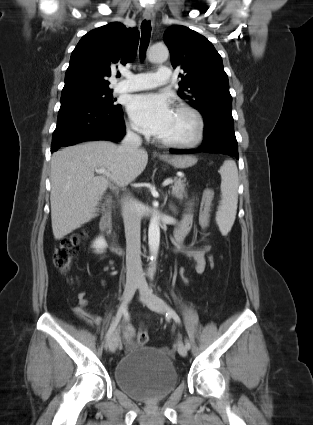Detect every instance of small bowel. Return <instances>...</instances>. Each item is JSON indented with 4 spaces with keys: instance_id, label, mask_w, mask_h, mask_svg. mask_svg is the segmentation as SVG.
<instances>
[{
    "instance_id": "small-bowel-1",
    "label": "small bowel",
    "mask_w": 313,
    "mask_h": 425,
    "mask_svg": "<svg viewBox=\"0 0 313 425\" xmlns=\"http://www.w3.org/2000/svg\"><path fill=\"white\" fill-rule=\"evenodd\" d=\"M213 200V191L206 189L202 194L201 199V212H200V224L202 227L207 226L209 219V211ZM193 219L191 214H186L180 221L177 229L173 235V242L175 248L179 251H183L185 255L194 262L195 271L199 274L206 270L207 263L205 260V253L209 247L204 246L200 249H189L183 244L185 237L191 230ZM74 313L87 324H97L102 322V318L93 313L88 308V301L86 298V292L81 291L77 294V305L74 307ZM136 336V330L130 324H126L123 329V338L127 346H132L134 338Z\"/></svg>"
}]
</instances>
